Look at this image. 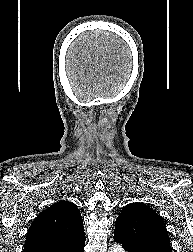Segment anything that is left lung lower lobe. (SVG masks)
<instances>
[{
  "label": "left lung lower lobe",
  "instance_id": "1",
  "mask_svg": "<svg viewBox=\"0 0 193 252\" xmlns=\"http://www.w3.org/2000/svg\"><path fill=\"white\" fill-rule=\"evenodd\" d=\"M114 241L121 243L117 236H114ZM122 244V243H121ZM127 252H172L171 247L161 243H150L140 245L125 246Z\"/></svg>",
  "mask_w": 193,
  "mask_h": 252
}]
</instances>
